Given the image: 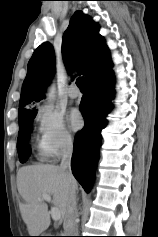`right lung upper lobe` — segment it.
<instances>
[{
	"label": "right lung upper lobe",
	"mask_w": 158,
	"mask_h": 237,
	"mask_svg": "<svg viewBox=\"0 0 158 237\" xmlns=\"http://www.w3.org/2000/svg\"><path fill=\"white\" fill-rule=\"evenodd\" d=\"M99 25L89 16L76 11L63 35L62 56L67 71L82 68L87 81L112 67L109 50L99 34ZM55 69V54L49 42L40 45L29 60L27 76L22 85L19 119L36 115L29 104L44 98L47 84Z\"/></svg>",
	"instance_id": "obj_1"
}]
</instances>
